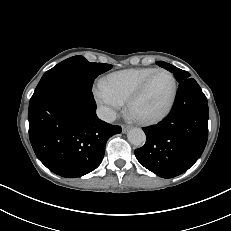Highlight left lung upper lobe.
<instances>
[{"mask_svg": "<svg viewBox=\"0 0 231 231\" xmlns=\"http://www.w3.org/2000/svg\"><path fill=\"white\" fill-rule=\"evenodd\" d=\"M157 64L168 71L172 72L178 82H181L185 79L190 78V74L184 70H181L169 63L163 62V61H158Z\"/></svg>", "mask_w": 231, "mask_h": 231, "instance_id": "left-lung-upper-lobe-1", "label": "left lung upper lobe"}]
</instances>
